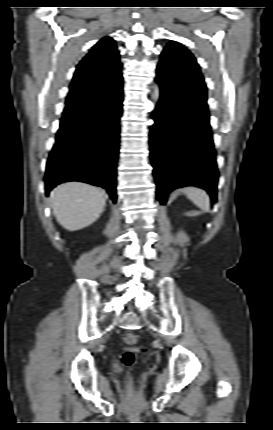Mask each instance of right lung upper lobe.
<instances>
[{"mask_svg": "<svg viewBox=\"0 0 273 430\" xmlns=\"http://www.w3.org/2000/svg\"><path fill=\"white\" fill-rule=\"evenodd\" d=\"M119 52L110 37L101 39L76 67L70 86L72 91L65 103L63 115L71 114L84 107L90 98L87 94L100 87L103 80H122Z\"/></svg>", "mask_w": 273, "mask_h": 430, "instance_id": "1", "label": "right lung upper lobe"}]
</instances>
